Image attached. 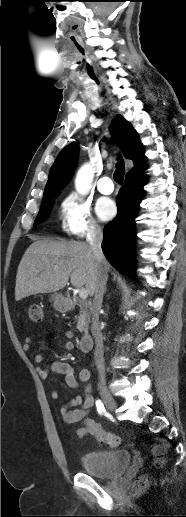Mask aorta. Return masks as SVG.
I'll return each instance as SVG.
<instances>
[{"label": "aorta", "instance_id": "1", "mask_svg": "<svg viewBox=\"0 0 186 517\" xmlns=\"http://www.w3.org/2000/svg\"><path fill=\"white\" fill-rule=\"evenodd\" d=\"M94 170L89 163L84 164L78 171L75 179V187L79 194L86 195L92 185Z\"/></svg>", "mask_w": 186, "mask_h": 517}]
</instances>
